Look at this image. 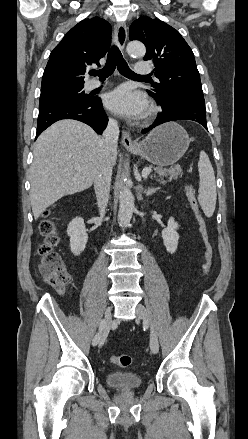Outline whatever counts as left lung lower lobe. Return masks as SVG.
Returning a JSON list of instances; mask_svg holds the SVG:
<instances>
[{"mask_svg": "<svg viewBox=\"0 0 248 439\" xmlns=\"http://www.w3.org/2000/svg\"><path fill=\"white\" fill-rule=\"evenodd\" d=\"M176 120L196 121L207 129L205 104L191 100L174 101L166 108L162 107V112L157 116L155 124L142 130V133L145 134L160 124Z\"/></svg>", "mask_w": 248, "mask_h": 439, "instance_id": "0a47b994", "label": "left lung lower lobe"}]
</instances>
